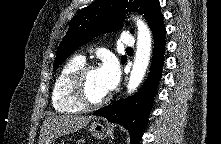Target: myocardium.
<instances>
[{"instance_id":"1","label":"myocardium","mask_w":221,"mask_h":144,"mask_svg":"<svg viewBox=\"0 0 221 144\" xmlns=\"http://www.w3.org/2000/svg\"><path fill=\"white\" fill-rule=\"evenodd\" d=\"M95 69H97V67L93 64H84L76 72L71 82L72 96L75 101L83 108H93L101 106L105 102H107L110 97L109 93H107L98 100H92L89 98L86 90V81L88 74Z\"/></svg>"}]
</instances>
